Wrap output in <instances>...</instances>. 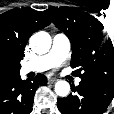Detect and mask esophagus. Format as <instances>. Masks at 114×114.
<instances>
[{
  "label": "esophagus",
  "mask_w": 114,
  "mask_h": 114,
  "mask_svg": "<svg viewBox=\"0 0 114 114\" xmlns=\"http://www.w3.org/2000/svg\"><path fill=\"white\" fill-rule=\"evenodd\" d=\"M56 81H57V78H55V77L48 78V83H54Z\"/></svg>",
  "instance_id": "1"
}]
</instances>
